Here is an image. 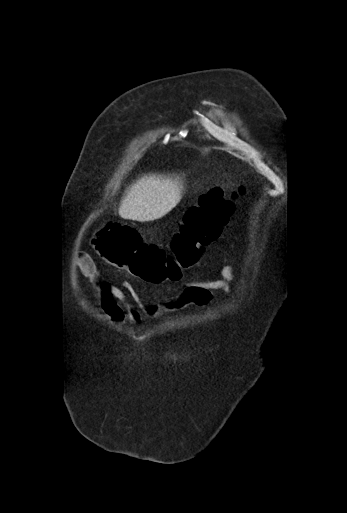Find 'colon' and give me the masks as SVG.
<instances>
[{
  "label": "colon",
  "instance_id": "5ec220e1",
  "mask_svg": "<svg viewBox=\"0 0 347 513\" xmlns=\"http://www.w3.org/2000/svg\"><path fill=\"white\" fill-rule=\"evenodd\" d=\"M243 192L240 186L215 187L200 195L173 236L171 254L160 245L142 241L132 227L115 222L97 234L94 247L107 263L145 282L160 285L178 280L185 269L201 259L205 247L220 236L234 211V200Z\"/></svg>",
  "mask_w": 347,
  "mask_h": 513
}]
</instances>
